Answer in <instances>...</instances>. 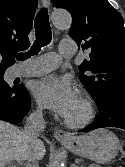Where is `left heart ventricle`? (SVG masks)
<instances>
[{"mask_svg": "<svg viewBox=\"0 0 125 167\" xmlns=\"http://www.w3.org/2000/svg\"><path fill=\"white\" fill-rule=\"evenodd\" d=\"M84 113H85L84 106H83L80 98L78 97L75 106L73 107V109L71 110V112L68 114L67 117L70 119L77 120V119L82 118Z\"/></svg>", "mask_w": 125, "mask_h": 167, "instance_id": "b2bd125f", "label": "left heart ventricle"}]
</instances>
